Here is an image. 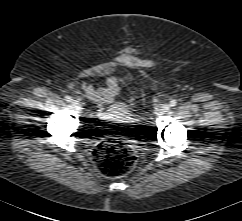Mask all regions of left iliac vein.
Instances as JSON below:
<instances>
[{
	"mask_svg": "<svg viewBox=\"0 0 242 221\" xmlns=\"http://www.w3.org/2000/svg\"><path fill=\"white\" fill-rule=\"evenodd\" d=\"M168 109H169V105H167V104H163V105H161V106L158 108V110H157V115H163V114H165V112H167Z\"/></svg>",
	"mask_w": 242,
	"mask_h": 221,
	"instance_id": "4c4485c4",
	"label": "left iliac vein"
}]
</instances>
